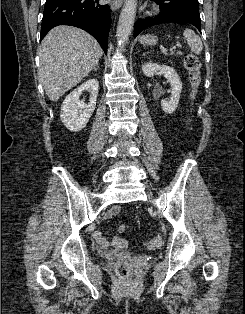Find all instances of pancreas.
Returning a JSON list of instances; mask_svg holds the SVG:
<instances>
[{
    "label": "pancreas",
    "mask_w": 245,
    "mask_h": 314,
    "mask_svg": "<svg viewBox=\"0 0 245 314\" xmlns=\"http://www.w3.org/2000/svg\"><path fill=\"white\" fill-rule=\"evenodd\" d=\"M177 54H178V55H181L182 53H181V52H178Z\"/></svg>",
    "instance_id": "1"
}]
</instances>
